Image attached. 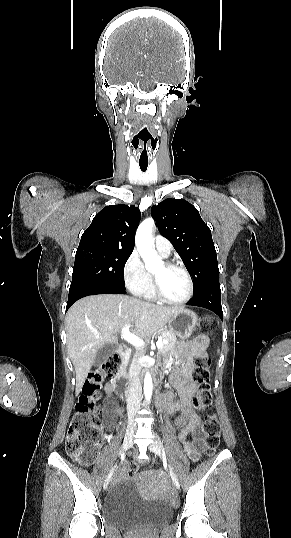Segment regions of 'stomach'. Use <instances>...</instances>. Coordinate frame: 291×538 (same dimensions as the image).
<instances>
[{"mask_svg": "<svg viewBox=\"0 0 291 538\" xmlns=\"http://www.w3.org/2000/svg\"><path fill=\"white\" fill-rule=\"evenodd\" d=\"M197 315L186 309H181L173 314L168 322L169 331L180 338L189 337L197 324Z\"/></svg>", "mask_w": 291, "mask_h": 538, "instance_id": "0dacf381", "label": "stomach"}]
</instances>
